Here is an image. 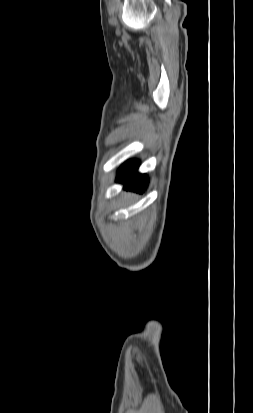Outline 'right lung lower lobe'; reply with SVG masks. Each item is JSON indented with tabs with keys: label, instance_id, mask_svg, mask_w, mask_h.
I'll use <instances>...</instances> for the list:
<instances>
[{
	"label": "right lung lower lobe",
	"instance_id": "1",
	"mask_svg": "<svg viewBox=\"0 0 253 413\" xmlns=\"http://www.w3.org/2000/svg\"><path fill=\"white\" fill-rule=\"evenodd\" d=\"M138 167L137 160L127 161L120 167L116 181L124 183L126 189L142 193L148 184V177L145 174H139Z\"/></svg>",
	"mask_w": 253,
	"mask_h": 413
}]
</instances>
